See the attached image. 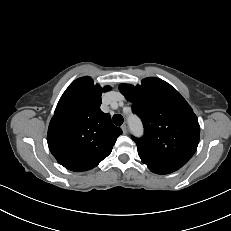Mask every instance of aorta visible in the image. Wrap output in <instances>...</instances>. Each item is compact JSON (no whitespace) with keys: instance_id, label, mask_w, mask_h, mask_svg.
I'll return each instance as SVG.
<instances>
[{"instance_id":"aorta-1","label":"aorta","mask_w":231,"mask_h":231,"mask_svg":"<svg viewBox=\"0 0 231 231\" xmlns=\"http://www.w3.org/2000/svg\"><path fill=\"white\" fill-rule=\"evenodd\" d=\"M129 125L132 131L134 132H140L142 127H141V122L137 117H130L129 118Z\"/></svg>"}]
</instances>
